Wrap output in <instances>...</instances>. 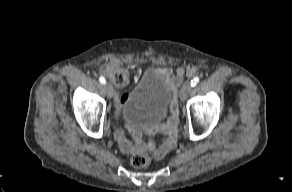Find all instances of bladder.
Returning a JSON list of instances; mask_svg holds the SVG:
<instances>
[{"instance_id":"obj_1","label":"bladder","mask_w":292,"mask_h":192,"mask_svg":"<svg viewBox=\"0 0 292 192\" xmlns=\"http://www.w3.org/2000/svg\"><path fill=\"white\" fill-rule=\"evenodd\" d=\"M172 96L168 82L157 73L148 72L127 93L122 103L123 117L134 125L158 123L166 118Z\"/></svg>"}]
</instances>
